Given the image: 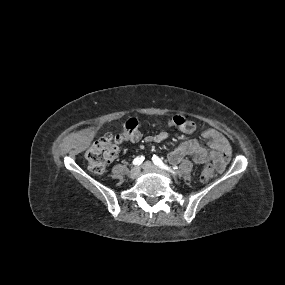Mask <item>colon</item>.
<instances>
[{"mask_svg":"<svg viewBox=\"0 0 285 285\" xmlns=\"http://www.w3.org/2000/svg\"><path fill=\"white\" fill-rule=\"evenodd\" d=\"M170 123L180 131L190 134L195 131L194 121L183 115L174 116ZM141 137L140 122L137 119H129L123 125L121 131L115 136H105L97 140L86 152L85 159L90 171L95 174H102L114 161L117 154V145L126 142L137 141ZM216 174L212 164L204 166L201 173V181L209 182Z\"/></svg>","mask_w":285,"mask_h":285,"instance_id":"1","label":"colon"}]
</instances>
